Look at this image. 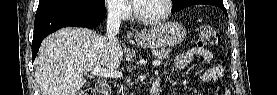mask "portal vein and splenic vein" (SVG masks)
Returning a JSON list of instances; mask_svg holds the SVG:
<instances>
[{
  "label": "portal vein and splenic vein",
  "mask_w": 277,
  "mask_h": 95,
  "mask_svg": "<svg viewBox=\"0 0 277 95\" xmlns=\"http://www.w3.org/2000/svg\"><path fill=\"white\" fill-rule=\"evenodd\" d=\"M159 65H160V60L153 61V66L157 67ZM91 74L94 76H100V77H106V78H118L122 76L121 72L104 69V68H101V66H96L92 70Z\"/></svg>",
  "instance_id": "obj_1"
}]
</instances>
